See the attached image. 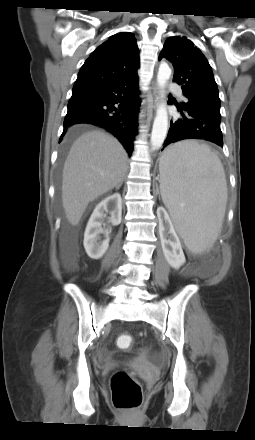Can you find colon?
<instances>
[{
	"label": "colon",
	"instance_id": "5ec220e1",
	"mask_svg": "<svg viewBox=\"0 0 255 440\" xmlns=\"http://www.w3.org/2000/svg\"><path fill=\"white\" fill-rule=\"evenodd\" d=\"M116 343L119 348L129 349L133 346V338L129 334H120ZM111 396L117 409L128 411L138 410L143 400L141 385L124 370H119L112 376Z\"/></svg>",
	"mask_w": 255,
	"mask_h": 440
}]
</instances>
